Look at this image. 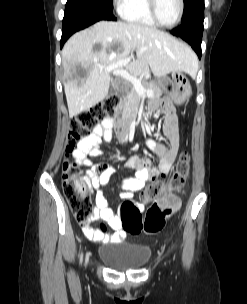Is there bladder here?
<instances>
[{
  "label": "bladder",
  "instance_id": "bladder-1",
  "mask_svg": "<svg viewBox=\"0 0 247 304\" xmlns=\"http://www.w3.org/2000/svg\"><path fill=\"white\" fill-rule=\"evenodd\" d=\"M98 254L108 267L128 271L143 267L151 257V249L124 241L107 242L99 248Z\"/></svg>",
  "mask_w": 247,
  "mask_h": 304
}]
</instances>
